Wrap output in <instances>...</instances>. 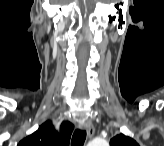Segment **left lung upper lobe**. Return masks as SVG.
Returning a JSON list of instances; mask_svg holds the SVG:
<instances>
[{"mask_svg":"<svg viewBox=\"0 0 164 146\" xmlns=\"http://www.w3.org/2000/svg\"><path fill=\"white\" fill-rule=\"evenodd\" d=\"M110 146H138L132 138L119 134L110 140Z\"/></svg>","mask_w":164,"mask_h":146,"instance_id":"1","label":"left lung upper lobe"}]
</instances>
